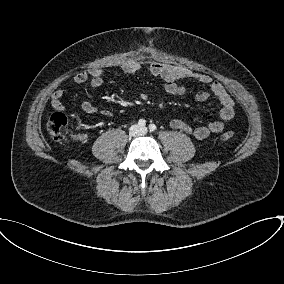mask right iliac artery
<instances>
[{
  "mask_svg": "<svg viewBox=\"0 0 284 284\" xmlns=\"http://www.w3.org/2000/svg\"><path fill=\"white\" fill-rule=\"evenodd\" d=\"M139 126L144 127L146 125V121L144 119H140L138 121Z\"/></svg>",
  "mask_w": 284,
  "mask_h": 284,
  "instance_id": "1",
  "label": "right iliac artery"
}]
</instances>
